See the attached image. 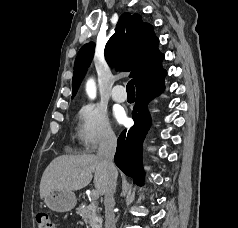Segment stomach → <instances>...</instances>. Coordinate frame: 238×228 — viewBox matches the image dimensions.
<instances>
[{"mask_svg": "<svg viewBox=\"0 0 238 228\" xmlns=\"http://www.w3.org/2000/svg\"><path fill=\"white\" fill-rule=\"evenodd\" d=\"M44 202L53 211L67 212L75 207L77 199L73 191L51 190L45 195Z\"/></svg>", "mask_w": 238, "mask_h": 228, "instance_id": "1", "label": "stomach"}]
</instances>
